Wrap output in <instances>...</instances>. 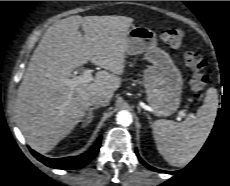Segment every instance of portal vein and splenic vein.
Returning a JSON list of instances; mask_svg holds the SVG:
<instances>
[{
	"mask_svg": "<svg viewBox=\"0 0 230 186\" xmlns=\"http://www.w3.org/2000/svg\"><path fill=\"white\" fill-rule=\"evenodd\" d=\"M94 80L93 76H92V71L90 69H85L82 75L79 76H74L72 79L67 80L68 85L71 87V89L73 90L74 87H76L78 84L81 83H90ZM178 120L180 121L182 118L186 117L187 114L185 113V111L180 110L178 112ZM189 117H193V114H188Z\"/></svg>",
	"mask_w": 230,
	"mask_h": 186,
	"instance_id": "1",
	"label": "portal vein and splenic vein"
}]
</instances>
